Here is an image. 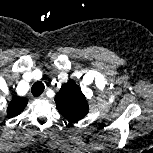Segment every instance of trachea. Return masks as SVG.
<instances>
[{"mask_svg":"<svg viewBox=\"0 0 153 153\" xmlns=\"http://www.w3.org/2000/svg\"><path fill=\"white\" fill-rule=\"evenodd\" d=\"M44 84L42 82H36L32 85L31 92L35 97L40 96L44 91Z\"/></svg>","mask_w":153,"mask_h":153,"instance_id":"trachea-1","label":"trachea"}]
</instances>
